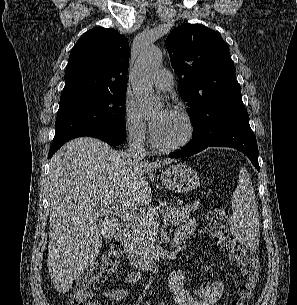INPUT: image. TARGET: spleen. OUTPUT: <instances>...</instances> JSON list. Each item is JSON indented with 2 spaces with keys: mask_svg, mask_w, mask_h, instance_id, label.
Wrapping results in <instances>:
<instances>
[{
  "mask_svg": "<svg viewBox=\"0 0 297 305\" xmlns=\"http://www.w3.org/2000/svg\"><path fill=\"white\" fill-rule=\"evenodd\" d=\"M233 215L228 220L232 234L248 248L259 245V213L252 182L246 168L239 172L238 185L232 195Z\"/></svg>",
  "mask_w": 297,
  "mask_h": 305,
  "instance_id": "1",
  "label": "spleen"
}]
</instances>
